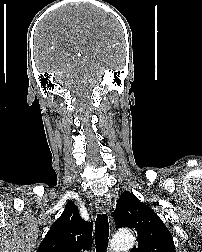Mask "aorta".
I'll use <instances>...</instances> for the list:
<instances>
[{
	"instance_id": "762f6f07",
	"label": "aorta",
	"mask_w": 202,
	"mask_h": 252,
	"mask_svg": "<svg viewBox=\"0 0 202 252\" xmlns=\"http://www.w3.org/2000/svg\"><path fill=\"white\" fill-rule=\"evenodd\" d=\"M134 244V237L131 232L119 231L113 238L111 249L113 252H124L130 249Z\"/></svg>"
}]
</instances>
